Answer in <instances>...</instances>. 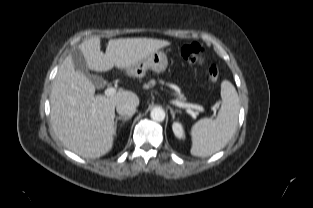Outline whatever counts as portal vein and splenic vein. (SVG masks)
Here are the masks:
<instances>
[{
  "mask_svg": "<svg viewBox=\"0 0 313 208\" xmlns=\"http://www.w3.org/2000/svg\"><path fill=\"white\" fill-rule=\"evenodd\" d=\"M116 92H117V90L115 88L109 87L104 91V94L109 97V96L115 95ZM173 104L180 107V108L187 109V113H189V114H192L191 109L197 110L199 112L205 111L204 107L201 105H198V104L184 103V102H180V101H173ZM216 108H217L216 106H213L212 110L216 111Z\"/></svg>",
  "mask_w": 313,
  "mask_h": 208,
  "instance_id": "18ae733b",
  "label": "portal vein and splenic vein"
}]
</instances>
